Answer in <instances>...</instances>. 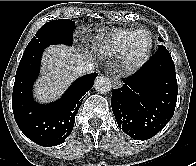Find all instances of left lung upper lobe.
Instances as JSON below:
<instances>
[{"mask_svg": "<svg viewBox=\"0 0 196 166\" xmlns=\"http://www.w3.org/2000/svg\"><path fill=\"white\" fill-rule=\"evenodd\" d=\"M159 41H163L161 38H159ZM161 46H163V45H159V47H161Z\"/></svg>", "mask_w": 196, "mask_h": 166, "instance_id": "5c2ea615", "label": "left lung upper lobe"}]
</instances>
